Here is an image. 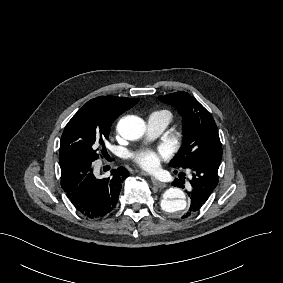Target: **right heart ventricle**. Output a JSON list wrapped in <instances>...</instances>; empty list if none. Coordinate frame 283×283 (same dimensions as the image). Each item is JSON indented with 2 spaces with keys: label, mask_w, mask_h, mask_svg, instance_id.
<instances>
[{
  "label": "right heart ventricle",
  "mask_w": 283,
  "mask_h": 283,
  "mask_svg": "<svg viewBox=\"0 0 283 283\" xmlns=\"http://www.w3.org/2000/svg\"><path fill=\"white\" fill-rule=\"evenodd\" d=\"M153 113H158V114H162V115L168 116L169 117V122H170V120L172 118L171 113L169 111H167V110H159V111H155Z\"/></svg>",
  "instance_id": "right-heart-ventricle-1"
}]
</instances>
